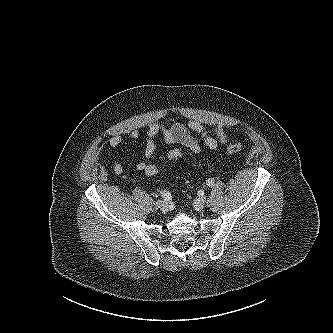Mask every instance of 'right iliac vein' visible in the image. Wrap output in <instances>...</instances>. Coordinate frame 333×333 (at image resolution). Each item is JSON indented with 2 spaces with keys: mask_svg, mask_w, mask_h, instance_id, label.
Returning <instances> with one entry per match:
<instances>
[{
  "mask_svg": "<svg viewBox=\"0 0 333 333\" xmlns=\"http://www.w3.org/2000/svg\"><path fill=\"white\" fill-rule=\"evenodd\" d=\"M155 205L161 211H166L168 209V202L166 200H158Z\"/></svg>",
  "mask_w": 333,
  "mask_h": 333,
  "instance_id": "1",
  "label": "right iliac vein"
}]
</instances>
